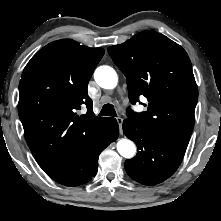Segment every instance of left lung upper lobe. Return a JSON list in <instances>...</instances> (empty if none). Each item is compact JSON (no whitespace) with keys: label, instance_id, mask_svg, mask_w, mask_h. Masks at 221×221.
Returning a JSON list of instances; mask_svg holds the SVG:
<instances>
[{"label":"left lung upper lobe","instance_id":"1","mask_svg":"<svg viewBox=\"0 0 221 221\" xmlns=\"http://www.w3.org/2000/svg\"><path fill=\"white\" fill-rule=\"evenodd\" d=\"M126 76L132 104L148 99L146 112L127 116L156 136L188 145L194 127L198 89L186 51L168 37L143 31L108 48Z\"/></svg>","mask_w":221,"mask_h":221}]
</instances>
